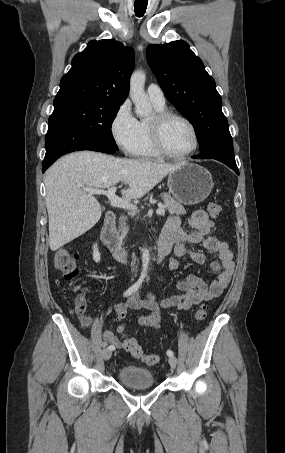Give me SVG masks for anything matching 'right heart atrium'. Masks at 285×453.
<instances>
[{"label":"right heart atrium","mask_w":285,"mask_h":453,"mask_svg":"<svg viewBox=\"0 0 285 453\" xmlns=\"http://www.w3.org/2000/svg\"><path fill=\"white\" fill-rule=\"evenodd\" d=\"M139 121L131 111L128 102L123 103L111 121V134L119 149L126 155H133L138 137Z\"/></svg>","instance_id":"obj_1"}]
</instances>
